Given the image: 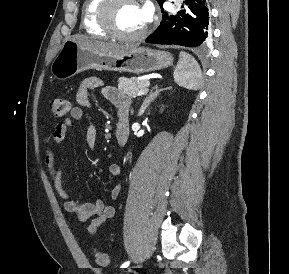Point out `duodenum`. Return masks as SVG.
Instances as JSON below:
<instances>
[{"mask_svg": "<svg viewBox=\"0 0 289 274\" xmlns=\"http://www.w3.org/2000/svg\"><path fill=\"white\" fill-rule=\"evenodd\" d=\"M129 135V116L127 113H120L116 125L115 136L118 144L124 146Z\"/></svg>", "mask_w": 289, "mask_h": 274, "instance_id": "410a0bca", "label": "duodenum"}]
</instances>
